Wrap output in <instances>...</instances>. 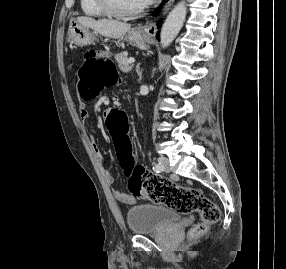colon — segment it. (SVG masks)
Returning <instances> with one entry per match:
<instances>
[{
  "instance_id": "1",
  "label": "colon",
  "mask_w": 286,
  "mask_h": 269,
  "mask_svg": "<svg viewBox=\"0 0 286 269\" xmlns=\"http://www.w3.org/2000/svg\"><path fill=\"white\" fill-rule=\"evenodd\" d=\"M112 55L106 49L87 52L78 71L79 89L86 99L96 97L102 89L117 81L113 65L102 60ZM128 116L130 111H126L123 106H112L106 126L111 131L112 149H116L113 150V155H117L120 166L128 177L129 191L137 197L162 203L179 213L199 212L201 222L192 228L191 235L197 237L204 234L211 224L219 220L218 207L198 189L177 186L164 177L145 171L143 163L135 162Z\"/></svg>"
}]
</instances>
